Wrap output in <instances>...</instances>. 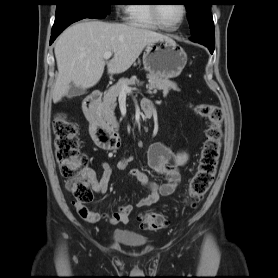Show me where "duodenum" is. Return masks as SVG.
Returning <instances> with one entry per match:
<instances>
[{
    "label": "duodenum",
    "instance_id": "1",
    "mask_svg": "<svg viewBox=\"0 0 278 278\" xmlns=\"http://www.w3.org/2000/svg\"><path fill=\"white\" fill-rule=\"evenodd\" d=\"M102 93L93 91L83 102V111L90 123V134L94 141L102 148L116 149L121 144L120 136L110 128L100 117L98 105Z\"/></svg>",
    "mask_w": 278,
    "mask_h": 278
}]
</instances>
